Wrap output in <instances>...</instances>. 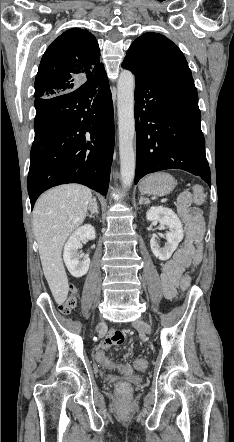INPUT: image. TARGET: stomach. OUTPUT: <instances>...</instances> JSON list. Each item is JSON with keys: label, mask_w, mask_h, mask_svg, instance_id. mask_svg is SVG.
<instances>
[{"label": "stomach", "mask_w": 234, "mask_h": 442, "mask_svg": "<svg viewBox=\"0 0 234 442\" xmlns=\"http://www.w3.org/2000/svg\"><path fill=\"white\" fill-rule=\"evenodd\" d=\"M175 186L176 181L172 175L158 172L145 177L140 182L139 190L143 194L166 196L173 191Z\"/></svg>", "instance_id": "stomach-1"}]
</instances>
